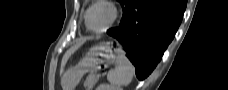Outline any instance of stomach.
<instances>
[{
	"label": "stomach",
	"mask_w": 228,
	"mask_h": 90,
	"mask_svg": "<svg viewBox=\"0 0 228 90\" xmlns=\"http://www.w3.org/2000/svg\"><path fill=\"white\" fill-rule=\"evenodd\" d=\"M117 51L118 49L110 42L90 48L78 65L65 72L63 76L65 86L72 89L80 82L86 72L108 67L114 62Z\"/></svg>",
	"instance_id": "stomach-1"
}]
</instances>
